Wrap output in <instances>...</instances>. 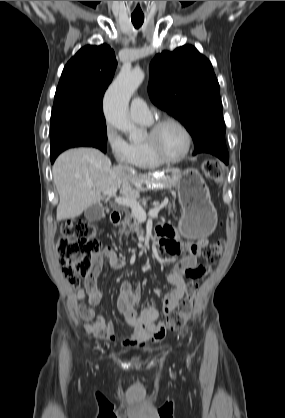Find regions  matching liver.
Returning a JSON list of instances; mask_svg holds the SVG:
<instances>
[{"mask_svg":"<svg viewBox=\"0 0 285 418\" xmlns=\"http://www.w3.org/2000/svg\"><path fill=\"white\" fill-rule=\"evenodd\" d=\"M52 171L59 193L57 221L78 217L87 208L100 202L105 191L117 188L123 197L136 200L140 192L150 189L151 185L155 188H172L181 179L179 169L139 174L125 165L112 168L110 159L94 148L63 152L56 159Z\"/></svg>","mask_w":285,"mask_h":418,"instance_id":"1","label":"liver"}]
</instances>
